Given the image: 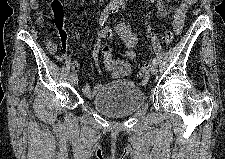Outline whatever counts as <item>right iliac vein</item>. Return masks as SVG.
I'll use <instances>...</instances> for the list:
<instances>
[{
  "label": "right iliac vein",
  "mask_w": 225,
  "mask_h": 159,
  "mask_svg": "<svg viewBox=\"0 0 225 159\" xmlns=\"http://www.w3.org/2000/svg\"><path fill=\"white\" fill-rule=\"evenodd\" d=\"M69 80H70V83H71L73 86H75V85L78 84V78H77V76H76L75 74L72 75L71 77L69 76Z\"/></svg>",
  "instance_id": "right-iliac-vein-1"
}]
</instances>
